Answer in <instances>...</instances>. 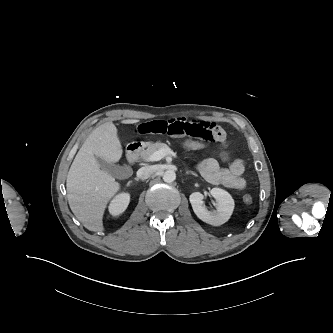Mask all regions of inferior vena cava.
Masks as SVG:
<instances>
[{
    "mask_svg": "<svg viewBox=\"0 0 333 333\" xmlns=\"http://www.w3.org/2000/svg\"><path fill=\"white\" fill-rule=\"evenodd\" d=\"M156 172V168L154 166H145L138 170L137 177L141 180H146L152 177Z\"/></svg>",
    "mask_w": 333,
    "mask_h": 333,
    "instance_id": "obj_1",
    "label": "inferior vena cava"
}]
</instances>
